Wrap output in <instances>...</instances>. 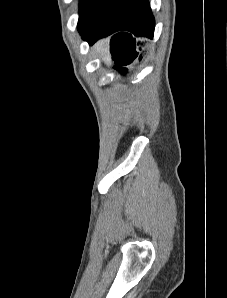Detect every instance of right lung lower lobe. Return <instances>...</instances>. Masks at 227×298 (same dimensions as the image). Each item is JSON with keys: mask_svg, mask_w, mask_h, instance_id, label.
Instances as JSON below:
<instances>
[{"mask_svg": "<svg viewBox=\"0 0 227 298\" xmlns=\"http://www.w3.org/2000/svg\"><path fill=\"white\" fill-rule=\"evenodd\" d=\"M154 27L155 20L147 0H112L80 34L89 44L113 34L112 58L116 64L127 65L133 52V37L153 38Z\"/></svg>", "mask_w": 227, "mask_h": 298, "instance_id": "obj_1", "label": "right lung lower lobe"}]
</instances>
